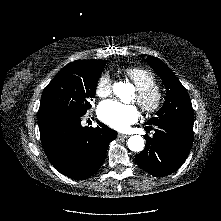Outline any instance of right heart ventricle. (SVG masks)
I'll return each instance as SVG.
<instances>
[{
    "label": "right heart ventricle",
    "instance_id": "obj_1",
    "mask_svg": "<svg viewBox=\"0 0 221 221\" xmlns=\"http://www.w3.org/2000/svg\"><path fill=\"white\" fill-rule=\"evenodd\" d=\"M124 74L128 77L137 90H144L157 84L154 73L143 67H128L124 69Z\"/></svg>",
    "mask_w": 221,
    "mask_h": 221
}]
</instances>
